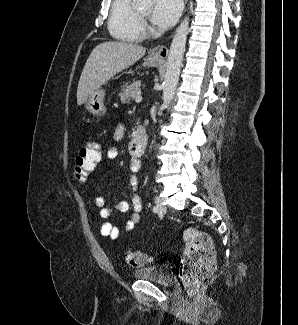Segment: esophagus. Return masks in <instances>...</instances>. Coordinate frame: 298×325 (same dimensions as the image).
Instances as JSON below:
<instances>
[{
  "mask_svg": "<svg viewBox=\"0 0 298 325\" xmlns=\"http://www.w3.org/2000/svg\"><path fill=\"white\" fill-rule=\"evenodd\" d=\"M187 2V0H185ZM168 55V48L165 45H158L157 47L153 48L150 52V57L158 59H164Z\"/></svg>",
  "mask_w": 298,
  "mask_h": 325,
  "instance_id": "1",
  "label": "esophagus"
}]
</instances>
